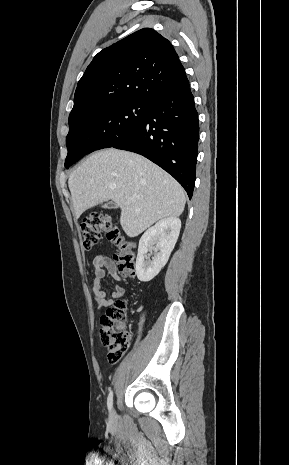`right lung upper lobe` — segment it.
I'll return each mask as SVG.
<instances>
[{"mask_svg": "<svg viewBox=\"0 0 289 465\" xmlns=\"http://www.w3.org/2000/svg\"><path fill=\"white\" fill-rule=\"evenodd\" d=\"M189 85L172 44L144 28L100 51L79 80L69 127L86 117L95 105L147 100Z\"/></svg>", "mask_w": 289, "mask_h": 465, "instance_id": "1", "label": "right lung upper lobe"}]
</instances>
